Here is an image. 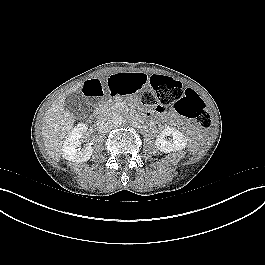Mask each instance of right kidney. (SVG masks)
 Instances as JSON below:
<instances>
[{
  "label": "right kidney",
  "instance_id": "obj_1",
  "mask_svg": "<svg viewBox=\"0 0 265 265\" xmlns=\"http://www.w3.org/2000/svg\"><path fill=\"white\" fill-rule=\"evenodd\" d=\"M87 129L88 128L85 124H78L68 133L61 149L63 158L75 163L86 162L90 159L93 153V148L90 145L82 149L80 148V138Z\"/></svg>",
  "mask_w": 265,
  "mask_h": 265
}]
</instances>
